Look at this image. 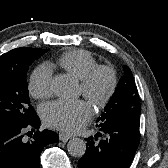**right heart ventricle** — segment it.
<instances>
[{
	"instance_id": "right-heart-ventricle-1",
	"label": "right heart ventricle",
	"mask_w": 168,
	"mask_h": 168,
	"mask_svg": "<svg viewBox=\"0 0 168 168\" xmlns=\"http://www.w3.org/2000/svg\"><path fill=\"white\" fill-rule=\"evenodd\" d=\"M57 63L66 72L82 79L98 65L96 58L90 52L82 49L71 50L61 55ZM50 67V65H48Z\"/></svg>"
}]
</instances>
